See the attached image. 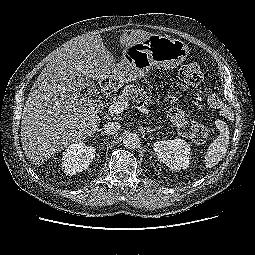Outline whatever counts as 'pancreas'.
I'll list each match as a JSON object with an SVG mask.
<instances>
[{
  "label": "pancreas",
  "mask_w": 255,
  "mask_h": 255,
  "mask_svg": "<svg viewBox=\"0 0 255 255\" xmlns=\"http://www.w3.org/2000/svg\"><path fill=\"white\" fill-rule=\"evenodd\" d=\"M121 100L127 101H144L146 104L151 105L152 99L147 91L143 88L138 87L135 84L126 85L119 95Z\"/></svg>",
  "instance_id": "1"
}]
</instances>
